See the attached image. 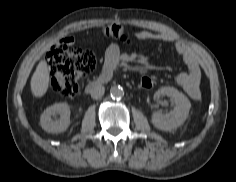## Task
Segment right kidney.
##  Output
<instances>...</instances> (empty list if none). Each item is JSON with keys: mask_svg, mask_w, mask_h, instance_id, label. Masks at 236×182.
Listing matches in <instances>:
<instances>
[{"mask_svg": "<svg viewBox=\"0 0 236 182\" xmlns=\"http://www.w3.org/2000/svg\"><path fill=\"white\" fill-rule=\"evenodd\" d=\"M57 116H59L58 119H56ZM40 124L48 133L65 131L70 125V107L66 103H57L48 107L41 114Z\"/></svg>", "mask_w": 236, "mask_h": 182, "instance_id": "right-kidney-1", "label": "right kidney"}]
</instances>
